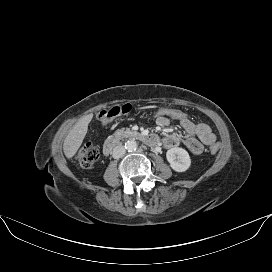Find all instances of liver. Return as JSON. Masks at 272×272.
<instances>
[{"instance_id":"1","label":"liver","mask_w":272,"mask_h":272,"mask_svg":"<svg viewBox=\"0 0 272 272\" xmlns=\"http://www.w3.org/2000/svg\"><path fill=\"white\" fill-rule=\"evenodd\" d=\"M92 117L93 116L89 114L79 119L66 136L63 144V151L67 158H72L78 151L83 139L85 138L88 124L92 120Z\"/></svg>"}]
</instances>
